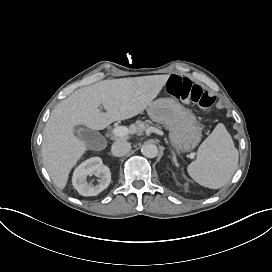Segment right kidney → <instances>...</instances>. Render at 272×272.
I'll use <instances>...</instances> for the list:
<instances>
[{
	"instance_id": "right-kidney-1",
	"label": "right kidney",
	"mask_w": 272,
	"mask_h": 272,
	"mask_svg": "<svg viewBox=\"0 0 272 272\" xmlns=\"http://www.w3.org/2000/svg\"><path fill=\"white\" fill-rule=\"evenodd\" d=\"M100 177L96 185L87 183V177L92 175ZM73 186L83 196H96L106 189L111 181L110 168L103 164L102 159L95 157L83 162L73 174Z\"/></svg>"
}]
</instances>
